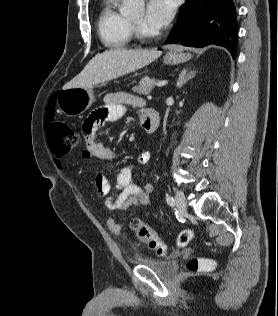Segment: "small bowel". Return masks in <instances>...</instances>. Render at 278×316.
<instances>
[{"label":"small bowel","mask_w":278,"mask_h":316,"mask_svg":"<svg viewBox=\"0 0 278 316\" xmlns=\"http://www.w3.org/2000/svg\"><path fill=\"white\" fill-rule=\"evenodd\" d=\"M127 105L143 106V101L138 97L127 93H110L104 98V105L93 111L83 122L82 131L86 147L81 156L85 161L112 160L117 157V152L104 146L97 140L99 128L106 122L120 119ZM151 159L149 151H143L137 158L138 165H145ZM60 163V162H59ZM95 186L100 195L106 197V204L110 210H125L132 206H146L151 202L153 186L145 183L139 186L132 182V167H123L112 187L104 174L97 170L95 174ZM107 227L115 236H121V225L114 219L109 218Z\"/></svg>","instance_id":"c3829d8e"}]
</instances>
